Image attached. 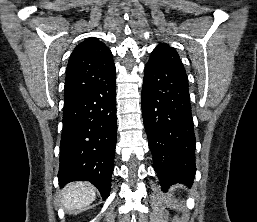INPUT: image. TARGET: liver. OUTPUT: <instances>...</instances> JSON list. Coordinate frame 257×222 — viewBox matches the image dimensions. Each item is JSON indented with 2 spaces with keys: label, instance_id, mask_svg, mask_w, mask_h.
Wrapping results in <instances>:
<instances>
[{
  "label": "liver",
  "instance_id": "1",
  "mask_svg": "<svg viewBox=\"0 0 257 222\" xmlns=\"http://www.w3.org/2000/svg\"><path fill=\"white\" fill-rule=\"evenodd\" d=\"M63 206L72 211L82 209L91 204L96 198L95 187L86 181H78L68 184L63 190Z\"/></svg>",
  "mask_w": 257,
  "mask_h": 222
}]
</instances>
